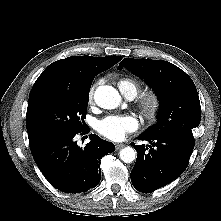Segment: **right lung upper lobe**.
I'll use <instances>...</instances> for the list:
<instances>
[{"label":"right lung upper lobe","instance_id":"obj_1","mask_svg":"<svg viewBox=\"0 0 221 221\" xmlns=\"http://www.w3.org/2000/svg\"><path fill=\"white\" fill-rule=\"evenodd\" d=\"M122 59L121 56H73L50 64L33 85L58 86L67 89H84L92 84L94 77Z\"/></svg>","mask_w":221,"mask_h":221}]
</instances>
